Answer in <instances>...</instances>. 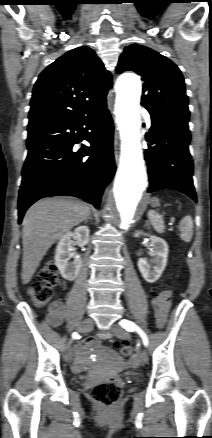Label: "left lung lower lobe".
Here are the masks:
<instances>
[{
  "label": "left lung lower lobe",
  "instance_id": "1",
  "mask_svg": "<svg viewBox=\"0 0 212 438\" xmlns=\"http://www.w3.org/2000/svg\"><path fill=\"white\" fill-rule=\"evenodd\" d=\"M149 135L151 144L144 152L150 186L148 193L160 189L180 191L194 201L193 161L189 153L188 122L152 117Z\"/></svg>",
  "mask_w": 212,
  "mask_h": 438
}]
</instances>
